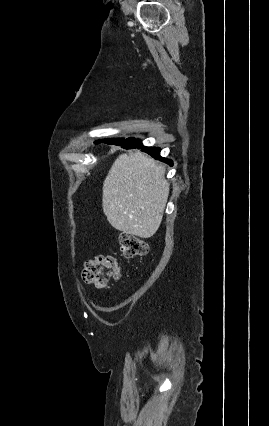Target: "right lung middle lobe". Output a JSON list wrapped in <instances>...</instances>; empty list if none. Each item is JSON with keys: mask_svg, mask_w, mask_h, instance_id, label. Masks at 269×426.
I'll use <instances>...</instances> for the list:
<instances>
[{"mask_svg": "<svg viewBox=\"0 0 269 426\" xmlns=\"http://www.w3.org/2000/svg\"><path fill=\"white\" fill-rule=\"evenodd\" d=\"M106 140H112V139H106ZM113 140H118V139H113ZM121 140H122V139H121ZM99 142H101V141H98V143H99Z\"/></svg>", "mask_w": 269, "mask_h": 426, "instance_id": "1", "label": "right lung middle lobe"}]
</instances>
